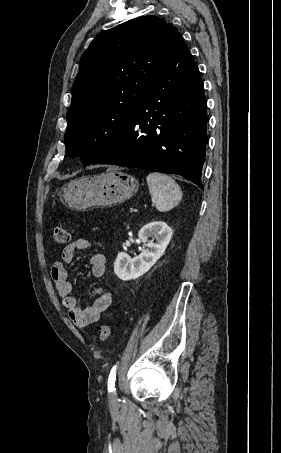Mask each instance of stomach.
<instances>
[{"mask_svg": "<svg viewBox=\"0 0 281 453\" xmlns=\"http://www.w3.org/2000/svg\"><path fill=\"white\" fill-rule=\"evenodd\" d=\"M138 188L139 182L131 174L121 172L120 168H107L101 174L71 180L63 186L60 196L73 210H87L124 202L136 194Z\"/></svg>", "mask_w": 281, "mask_h": 453, "instance_id": "0dacf381", "label": "stomach"}]
</instances>
